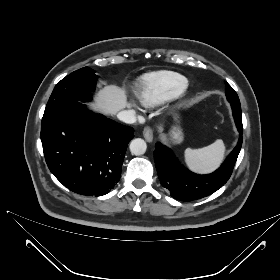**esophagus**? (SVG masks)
<instances>
[{
    "label": "esophagus",
    "instance_id": "esophagus-1",
    "mask_svg": "<svg viewBox=\"0 0 280 280\" xmlns=\"http://www.w3.org/2000/svg\"><path fill=\"white\" fill-rule=\"evenodd\" d=\"M143 136L147 142H152L153 140V130L151 127H145L143 130Z\"/></svg>",
    "mask_w": 280,
    "mask_h": 280
}]
</instances>
